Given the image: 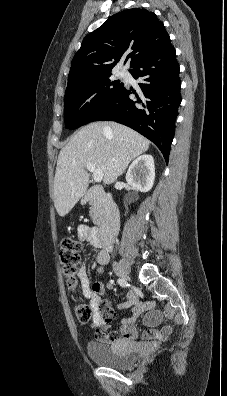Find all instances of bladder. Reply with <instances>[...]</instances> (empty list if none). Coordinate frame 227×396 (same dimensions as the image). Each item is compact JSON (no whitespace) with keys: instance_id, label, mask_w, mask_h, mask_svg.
Masks as SVG:
<instances>
[{"instance_id":"31cf9c89","label":"bladder","mask_w":227,"mask_h":396,"mask_svg":"<svg viewBox=\"0 0 227 396\" xmlns=\"http://www.w3.org/2000/svg\"><path fill=\"white\" fill-rule=\"evenodd\" d=\"M86 351L93 362L117 370L129 369L138 360V354L125 342L108 344L92 341L87 344Z\"/></svg>"}]
</instances>
